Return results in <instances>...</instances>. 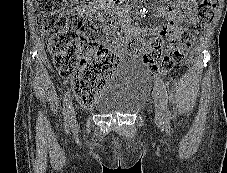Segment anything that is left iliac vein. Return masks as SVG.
<instances>
[{
	"label": "left iliac vein",
	"mask_w": 227,
	"mask_h": 173,
	"mask_svg": "<svg viewBox=\"0 0 227 173\" xmlns=\"http://www.w3.org/2000/svg\"><path fill=\"white\" fill-rule=\"evenodd\" d=\"M153 100L155 103V120L157 124L162 125L165 121V112L163 108V101L157 89L153 90Z\"/></svg>",
	"instance_id": "left-iliac-vein-1"
}]
</instances>
